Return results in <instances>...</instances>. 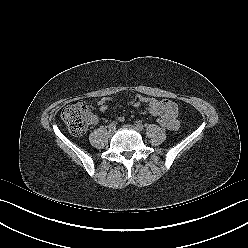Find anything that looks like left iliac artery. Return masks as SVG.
Masks as SVG:
<instances>
[{
    "mask_svg": "<svg viewBox=\"0 0 248 248\" xmlns=\"http://www.w3.org/2000/svg\"><path fill=\"white\" fill-rule=\"evenodd\" d=\"M136 127H137L139 130L144 129V126H143L141 123H137V124H136Z\"/></svg>",
    "mask_w": 248,
    "mask_h": 248,
    "instance_id": "44dca946",
    "label": "left iliac artery"
}]
</instances>
